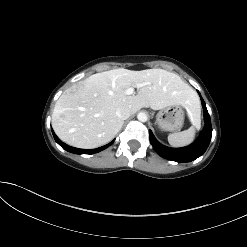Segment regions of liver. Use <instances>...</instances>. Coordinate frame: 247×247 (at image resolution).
I'll list each match as a JSON object with an SVG mask.
<instances>
[{
  "instance_id": "6515ba94",
  "label": "liver",
  "mask_w": 247,
  "mask_h": 247,
  "mask_svg": "<svg viewBox=\"0 0 247 247\" xmlns=\"http://www.w3.org/2000/svg\"><path fill=\"white\" fill-rule=\"evenodd\" d=\"M146 83L136 95L124 91ZM182 105L189 112L198 106L194 91L179 75L163 69L132 71L124 68L96 73L68 88L57 100L52 126L65 143L78 148H96L110 142L123 120L117 108L126 106L131 114L141 108L153 110Z\"/></svg>"
}]
</instances>
